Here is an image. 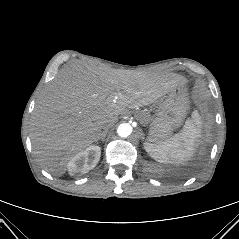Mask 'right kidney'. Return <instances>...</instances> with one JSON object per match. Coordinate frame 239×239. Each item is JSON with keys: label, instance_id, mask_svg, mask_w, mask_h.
<instances>
[{"label": "right kidney", "instance_id": "obj_1", "mask_svg": "<svg viewBox=\"0 0 239 239\" xmlns=\"http://www.w3.org/2000/svg\"><path fill=\"white\" fill-rule=\"evenodd\" d=\"M101 148L89 146L85 150L75 154L68 162L67 168L71 176L83 175L93 169L100 160Z\"/></svg>", "mask_w": 239, "mask_h": 239}]
</instances>
